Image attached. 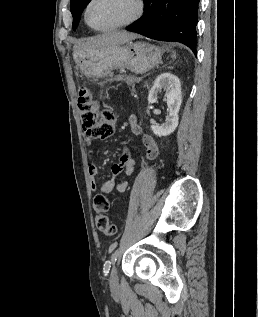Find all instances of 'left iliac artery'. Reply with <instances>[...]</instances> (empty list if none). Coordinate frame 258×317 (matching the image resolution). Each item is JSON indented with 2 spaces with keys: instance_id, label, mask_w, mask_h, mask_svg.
I'll return each instance as SVG.
<instances>
[{
  "instance_id": "1",
  "label": "left iliac artery",
  "mask_w": 258,
  "mask_h": 317,
  "mask_svg": "<svg viewBox=\"0 0 258 317\" xmlns=\"http://www.w3.org/2000/svg\"><path fill=\"white\" fill-rule=\"evenodd\" d=\"M117 255H118V249H116V250L112 253V255H111V261H112V263H115V262H116V260H117Z\"/></svg>"
}]
</instances>
